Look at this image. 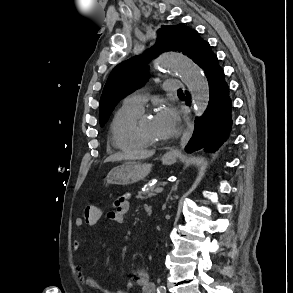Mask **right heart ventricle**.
<instances>
[{
    "instance_id": "e07e8e85",
    "label": "right heart ventricle",
    "mask_w": 293,
    "mask_h": 293,
    "mask_svg": "<svg viewBox=\"0 0 293 293\" xmlns=\"http://www.w3.org/2000/svg\"><path fill=\"white\" fill-rule=\"evenodd\" d=\"M143 109L123 105L115 113L110 125V142L124 152H137L147 148V144L136 132V121Z\"/></svg>"
}]
</instances>
